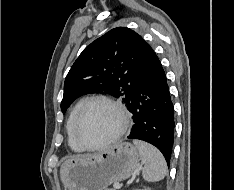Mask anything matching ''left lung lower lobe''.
Instances as JSON below:
<instances>
[{"label":"left lung lower lobe","mask_w":234,"mask_h":190,"mask_svg":"<svg viewBox=\"0 0 234 190\" xmlns=\"http://www.w3.org/2000/svg\"><path fill=\"white\" fill-rule=\"evenodd\" d=\"M127 106L134 121L128 138L156 146L169 165L174 140L173 104L162 65L145 40L137 84Z\"/></svg>","instance_id":"1"}]
</instances>
